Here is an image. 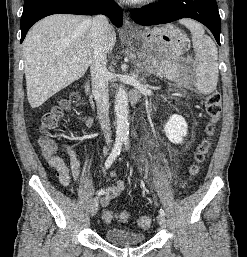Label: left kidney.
Wrapping results in <instances>:
<instances>
[{
	"label": "left kidney",
	"instance_id": "5707ae66",
	"mask_svg": "<svg viewBox=\"0 0 247 257\" xmlns=\"http://www.w3.org/2000/svg\"><path fill=\"white\" fill-rule=\"evenodd\" d=\"M164 131L170 142L181 144L183 137L187 135L188 125L182 116L174 114L166 123Z\"/></svg>",
	"mask_w": 247,
	"mask_h": 257
}]
</instances>
